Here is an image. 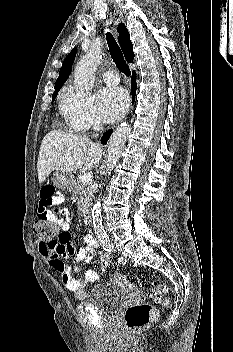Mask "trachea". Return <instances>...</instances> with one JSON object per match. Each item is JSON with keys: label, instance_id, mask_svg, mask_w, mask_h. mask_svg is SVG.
Instances as JSON below:
<instances>
[{"label": "trachea", "instance_id": "obj_1", "mask_svg": "<svg viewBox=\"0 0 233 352\" xmlns=\"http://www.w3.org/2000/svg\"><path fill=\"white\" fill-rule=\"evenodd\" d=\"M106 40H107L111 57L114 63L116 64L117 68L126 76H130L131 74L130 69L122 55L119 45L117 44L116 40L114 39L111 33L109 32L106 33Z\"/></svg>", "mask_w": 233, "mask_h": 352}]
</instances>
